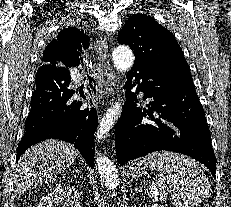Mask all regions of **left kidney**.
<instances>
[{"mask_svg": "<svg viewBox=\"0 0 231 207\" xmlns=\"http://www.w3.org/2000/svg\"><path fill=\"white\" fill-rule=\"evenodd\" d=\"M152 207H164V206H163V205H160V204H158V203H155V204L152 205Z\"/></svg>", "mask_w": 231, "mask_h": 207, "instance_id": "5707ae66", "label": "left kidney"}]
</instances>
